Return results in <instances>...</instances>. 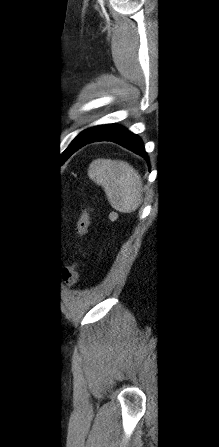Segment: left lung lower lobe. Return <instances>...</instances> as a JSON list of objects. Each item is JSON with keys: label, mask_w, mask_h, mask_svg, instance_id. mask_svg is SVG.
I'll return each mask as SVG.
<instances>
[{"label": "left lung lower lobe", "mask_w": 219, "mask_h": 447, "mask_svg": "<svg viewBox=\"0 0 219 447\" xmlns=\"http://www.w3.org/2000/svg\"><path fill=\"white\" fill-rule=\"evenodd\" d=\"M95 141H113L142 156L148 161V156L144 150L141 139L137 135L129 132L126 128L116 124L101 125L99 129L87 139L72 147L69 146L70 148H67L68 150L66 149L67 151L65 150L66 152H64V158L67 159L82 146Z\"/></svg>", "instance_id": "left-lung-lower-lobe-1"}]
</instances>
